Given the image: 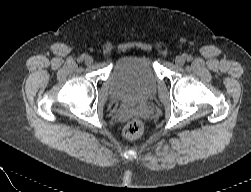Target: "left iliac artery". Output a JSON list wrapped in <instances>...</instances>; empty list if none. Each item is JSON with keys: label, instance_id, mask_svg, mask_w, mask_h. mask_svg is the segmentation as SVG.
Segmentation results:
<instances>
[{"label": "left iliac artery", "instance_id": "left-iliac-artery-1", "mask_svg": "<svg viewBox=\"0 0 251 192\" xmlns=\"http://www.w3.org/2000/svg\"><path fill=\"white\" fill-rule=\"evenodd\" d=\"M186 59H187V61H191L192 60V56L189 55V56L186 57Z\"/></svg>", "mask_w": 251, "mask_h": 192}]
</instances>
